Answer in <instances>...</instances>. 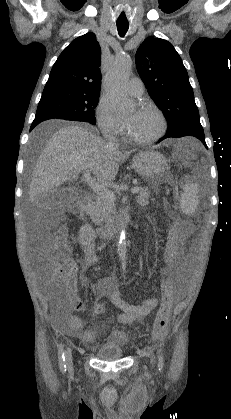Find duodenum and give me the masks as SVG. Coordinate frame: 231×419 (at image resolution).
I'll return each mask as SVG.
<instances>
[{"instance_id":"1","label":"duodenum","mask_w":231,"mask_h":419,"mask_svg":"<svg viewBox=\"0 0 231 419\" xmlns=\"http://www.w3.org/2000/svg\"><path fill=\"white\" fill-rule=\"evenodd\" d=\"M93 199L91 196L86 195L82 201L79 215L81 219H85L88 215L89 210L92 208ZM130 219L126 214H118L109 222L101 225L98 232L103 239L114 236L122 227L128 225Z\"/></svg>"}]
</instances>
